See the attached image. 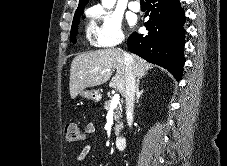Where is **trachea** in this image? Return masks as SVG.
<instances>
[{
  "instance_id": "3493384b",
  "label": "trachea",
  "mask_w": 227,
  "mask_h": 166,
  "mask_svg": "<svg viewBox=\"0 0 227 166\" xmlns=\"http://www.w3.org/2000/svg\"><path fill=\"white\" fill-rule=\"evenodd\" d=\"M141 3H144V0H140Z\"/></svg>"
}]
</instances>
